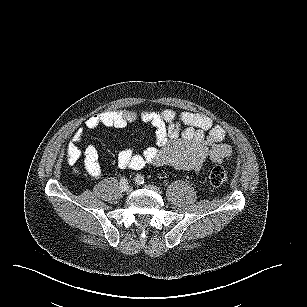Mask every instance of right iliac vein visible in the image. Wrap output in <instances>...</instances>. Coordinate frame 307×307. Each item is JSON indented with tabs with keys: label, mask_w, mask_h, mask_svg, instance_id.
Here are the masks:
<instances>
[{
	"label": "right iliac vein",
	"mask_w": 307,
	"mask_h": 307,
	"mask_svg": "<svg viewBox=\"0 0 307 307\" xmlns=\"http://www.w3.org/2000/svg\"><path fill=\"white\" fill-rule=\"evenodd\" d=\"M122 191L129 194L132 192V187L131 186L123 187Z\"/></svg>",
	"instance_id": "63e3f726"
}]
</instances>
